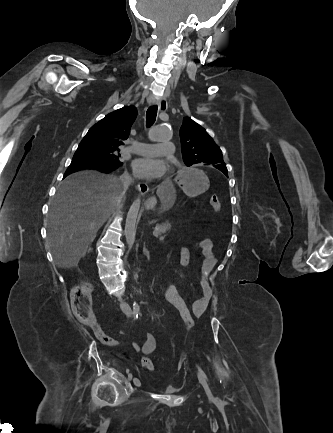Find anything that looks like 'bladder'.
Segmentation results:
<instances>
[{"instance_id":"obj_1","label":"bladder","mask_w":333,"mask_h":433,"mask_svg":"<svg viewBox=\"0 0 333 433\" xmlns=\"http://www.w3.org/2000/svg\"><path fill=\"white\" fill-rule=\"evenodd\" d=\"M180 388L174 385H168L164 388V393L166 394H177L179 392Z\"/></svg>"}]
</instances>
